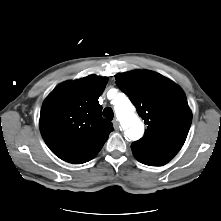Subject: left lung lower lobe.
I'll list each match as a JSON object with an SVG mask.
<instances>
[{
  "label": "left lung lower lobe",
  "instance_id": "obj_1",
  "mask_svg": "<svg viewBox=\"0 0 221 221\" xmlns=\"http://www.w3.org/2000/svg\"><path fill=\"white\" fill-rule=\"evenodd\" d=\"M132 151H133L134 157H135L139 162H141V163H143V164H146V165H149V166H158L157 164H154V163H152V162L146 160V158H145L140 152L135 151V150H133V149H132Z\"/></svg>",
  "mask_w": 221,
  "mask_h": 221
}]
</instances>
